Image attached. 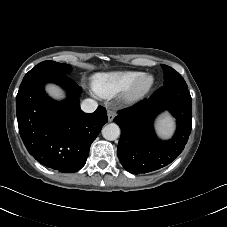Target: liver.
<instances>
[{
  "label": "liver",
  "instance_id": "liver-1",
  "mask_svg": "<svg viewBox=\"0 0 227 227\" xmlns=\"http://www.w3.org/2000/svg\"><path fill=\"white\" fill-rule=\"evenodd\" d=\"M46 91L54 99H62V98H64L63 91L60 88H58L57 86L53 85V84H48L46 86Z\"/></svg>",
  "mask_w": 227,
  "mask_h": 227
}]
</instances>
